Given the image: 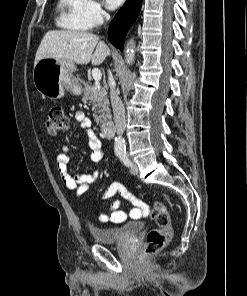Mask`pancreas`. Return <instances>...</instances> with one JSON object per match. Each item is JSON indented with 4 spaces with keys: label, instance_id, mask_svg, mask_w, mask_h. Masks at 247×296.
Listing matches in <instances>:
<instances>
[{
    "label": "pancreas",
    "instance_id": "obj_1",
    "mask_svg": "<svg viewBox=\"0 0 247 296\" xmlns=\"http://www.w3.org/2000/svg\"><path fill=\"white\" fill-rule=\"evenodd\" d=\"M84 100H90L93 104L94 120L97 124H102L110 117L109 100L106 87L99 83L85 84Z\"/></svg>",
    "mask_w": 247,
    "mask_h": 296
}]
</instances>
